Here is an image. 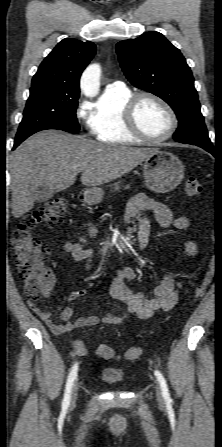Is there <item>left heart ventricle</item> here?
<instances>
[{
    "instance_id": "1",
    "label": "left heart ventricle",
    "mask_w": 222,
    "mask_h": 447,
    "mask_svg": "<svg viewBox=\"0 0 222 447\" xmlns=\"http://www.w3.org/2000/svg\"><path fill=\"white\" fill-rule=\"evenodd\" d=\"M139 127L149 136L158 138L170 128L168 113L156 102L143 99L136 112Z\"/></svg>"
}]
</instances>
